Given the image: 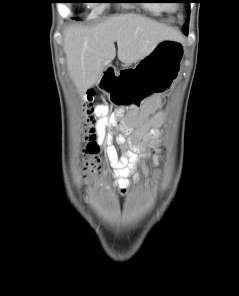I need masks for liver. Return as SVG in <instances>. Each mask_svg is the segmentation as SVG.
<instances>
[{
  "label": "liver",
  "instance_id": "6515ba94",
  "mask_svg": "<svg viewBox=\"0 0 239 296\" xmlns=\"http://www.w3.org/2000/svg\"><path fill=\"white\" fill-rule=\"evenodd\" d=\"M180 40V33L167 25L135 13L115 15L94 27L70 25L64 32L63 50L67 70L79 95L96 85L105 67L118 59L136 63L163 40Z\"/></svg>",
  "mask_w": 239,
  "mask_h": 296
}]
</instances>
